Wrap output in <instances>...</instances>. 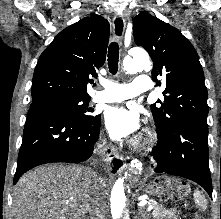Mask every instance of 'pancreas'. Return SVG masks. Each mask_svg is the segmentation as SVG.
Segmentation results:
<instances>
[{"label": "pancreas", "instance_id": "obj_1", "mask_svg": "<svg viewBox=\"0 0 221 219\" xmlns=\"http://www.w3.org/2000/svg\"><path fill=\"white\" fill-rule=\"evenodd\" d=\"M149 205L153 206V210L151 212V216L154 219H181L177 214L176 208L166 209L162 205L158 204L154 200L149 201Z\"/></svg>", "mask_w": 221, "mask_h": 219}]
</instances>
